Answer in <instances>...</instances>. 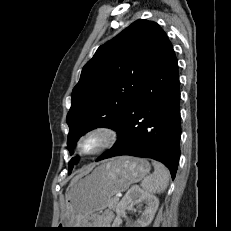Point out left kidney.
I'll return each instance as SVG.
<instances>
[{"instance_id": "obj_1", "label": "left kidney", "mask_w": 231, "mask_h": 231, "mask_svg": "<svg viewBox=\"0 0 231 231\" xmlns=\"http://www.w3.org/2000/svg\"><path fill=\"white\" fill-rule=\"evenodd\" d=\"M142 202L146 204L145 209L140 218L133 224V227H147L152 222L154 215L158 209L159 199L155 195L143 191L138 186H134L130 190H128V192L117 205V217L113 222V228H119L122 223L121 216H124L126 214V209L129 205Z\"/></svg>"}]
</instances>
